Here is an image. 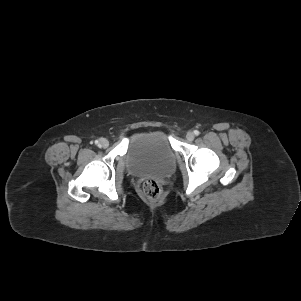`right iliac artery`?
<instances>
[{
    "instance_id": "right-iliac-artery-1",
    "label": "right iliac artery",
    "mask_w": 301,
    "mask_h": 301,
    "mask_svg": "<svg viewBox=\"0 0 301 301\" xmlns=\"http://www.w3.org/2000/svg\"><path fill=\"white\" fill-rule=\"evenodd\" d=\"M95 144H96V145H98V144H99V141H98V140H96V141H95Z\"/></svg>"
}]
</instances>
